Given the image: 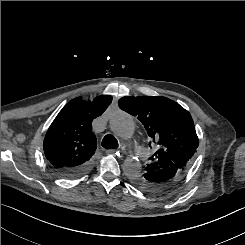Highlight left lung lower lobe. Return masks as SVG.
Wrapping results in <instances>:
<instances>
[{"instance_id":"obj_1","label":"left lung lower lobe","mask_w":245,"mask_h":245,"mask_svg":"<svg viewBox=\"0 0 245 245\" xmlns=\"http://www.w3.org/2000/svg\"><path fill=\"white\" fill-rule=\"evenodd\" d=\"M182 173L173 168H166L149 177L152 194L162 193L172 188L181 178Z\"/></svg>"}]
</instances>
